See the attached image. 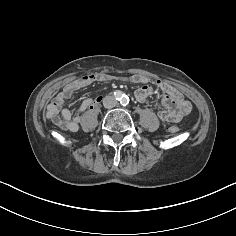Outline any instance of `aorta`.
<instances>
[{"label": "aorta", "instance_id": "1", "mask_svg": "<svg viewBox=\"0 0 236 236\" xmlns=\"http://www.w3.org/2000/svg\"><path fill=\"white\" fill-rule=\"evenodd\" d=\"M124 100H125V98L121 99V102L123 103V102H124Z\"/></svg>", "mask_w": 236, "mask_h": 236}]
</instances>
